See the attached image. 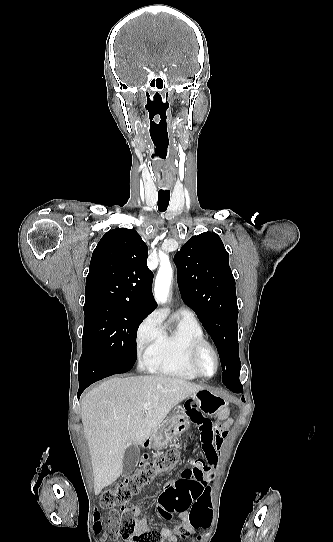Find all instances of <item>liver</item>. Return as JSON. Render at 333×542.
Segmentation results:
<instances>
[{
    "label": "liver",
    "instance_id": "1",
    "mask_svg": "<svg viewBox=\"0 0 333 542\" xmlns=\"http://www.w3.org/2000/svg\"><path fill=\"white\" fill-rule=\"evenodd\" d=\"M206 390L189 380L154 374L110 378L81 400V418L94 476V494L122 474L125 450L143 446L167 414L191 394ZM144 404H149L144 410Z\"/></svg>",
    "mask_w": 333,
    "mask_h": 542
}]
</instances>
